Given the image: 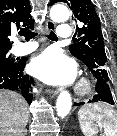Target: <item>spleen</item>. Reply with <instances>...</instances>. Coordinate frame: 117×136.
<instances>
[{
    "label": "spleen",
    "instance_id": "spleen-1",
    "mask_svg": "<svg viewBox=\"0 0 117 136\" xmlns=\"http://www.w3.org/2000/svg\"><path fill=\"white\" fill-rule=\"evenodd\" d=\"M81 130L85 136H96L102 127V136H117V112L105 103L87 104L78 111Z\"/></svg>",
    "mask_w": 117,
    "mask_h": 136
}]
</instances>
